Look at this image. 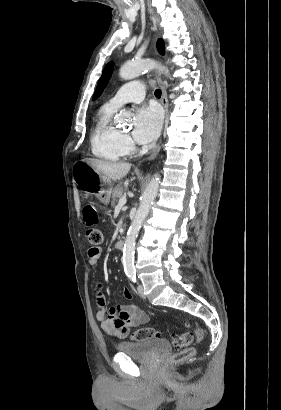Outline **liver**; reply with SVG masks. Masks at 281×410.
<instances>
[{"mask_svg": "<svg viewBox=\"0 0 281 410\" xmlns=\"http://www.w3.org/2000/svg\"><path fill=\"white\" fill-rule=\"evenodd\" d=\"M96 171L102 173L108 179L119 181L124 178L131 169L130 163H118L111 161H104L99 159L88 158L85 159ZM75 206L80 215V202L78 196L75 198Z\"/></svg>", "mask_w": 281, "mask_h": 410, "instance_id": "6515ba94", "label": "liver"}]
</instances>
